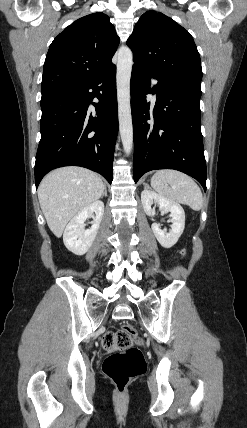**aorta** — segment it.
Wrapping results in <instances>:
<instances>
[{"mask_svg": "<svg viewBox=\"0 0 247 428\" xmlns=\"http://www.w3.org/2000/svg\"><path fill=\"white\" fill-rule=\"evenodd\" d=\"M133 65L132 51L123 47L118 52L117 101L119 130L123 148L129 154L133 146V124L130 105V78Z\"/></svg>", "mask_w": 247, "mask_h": 428, "instance_id": "1", "label": "aorta"}]
</instances>
